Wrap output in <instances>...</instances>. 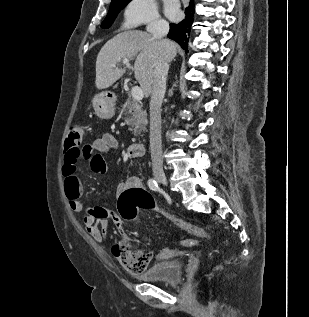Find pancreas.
<instances>
[{"instance_id": "1", "label": "pancreas", "mask_w": 309, "mask_h": 317, "mask_svg": "<svg viewBox=\"0 0 309 317\" xmlns=\"http://www.w3.org/2000/svg\"><path fill=\"white\" fill-rule=\"evenodd\" d=\"M123 112L125 114L124 120L129 126V130L133 131L134 135H140L148 124L147 113L143 109V105L139 104L129 95L128 100L123 107L122 113Z\"/></svg>"}]
</instances>
